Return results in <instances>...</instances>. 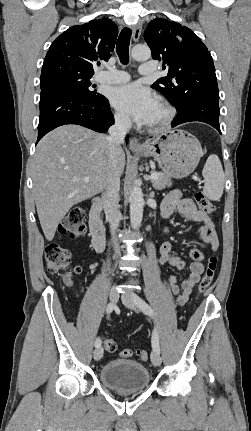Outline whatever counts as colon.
<instances>
[{"label": "colon", "instance_id": "1", "mask_svg": "<svg viewBox=\"0 0 251 431\" xmlns=\"http://www.w3.org/2000/svg\"><path fill=\"white\" fill-rule=\"evenodd\" d=\"M194 197L199 209L202 212L205 214H212L215 211L214 205L203 193L197 192ZM84 216L85 212L83 208L76 206L70 209L59 226V233L66 235L73 240L79 238L84 231ZM45 258L47 270L50 273H58L70 266L71 253L67 248L56 242H53L46 247ZM216 269L217 257L212 255L208 259L205 273L199 283V293H204L210 288L213 283ZM81 272V266L77 265L73 267L74 274L78 275L81 274ZM103 345L108 352H114L117 347L116 342L113 339H105ZM120 355L124 358L136 355L143 361H147L149 359V353L144 349L127 348L123 349Z\"/></svg>", "mask_w": 251, "mask_h": 431}]
</instances>
